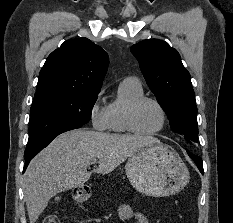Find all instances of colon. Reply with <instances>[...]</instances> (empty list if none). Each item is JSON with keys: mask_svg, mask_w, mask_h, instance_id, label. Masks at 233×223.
Masks as SVG:
<instances>
[{"mask_svg": "<svg viewBox=\"0 0 233 223\" xmlns=\"http://www.w3.org/2000/svg\"><path fill=\"white\" fill-rule=\"evenodd\" d=\"M43 223H60V220L56 214L52 213L43 220Z\"/></svg>", "mask_w": 233, "mask_h": 223, "instance_id": "obj_1", "label": "colon"}]
</instances>
